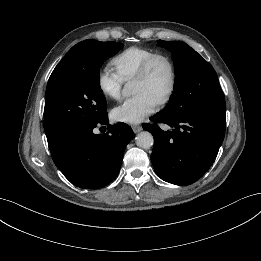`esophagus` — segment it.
<instances>
[{
    "label": "esophagus",
    "mask_w": 261,
    "mask_h": 261,
    "mask_svg": "<svg viewBox=\"0 0 261 261\" xmlns=\"http://www.w3.org/2000/svg\"><path fill=\"white\" fill-rule=\"evenodd\" d=\"M132 129H133L134 133H139L142 130V126H140V125H133Z\"/></svg>",
    "instance_id": "obj_1"
}]
</instances>
